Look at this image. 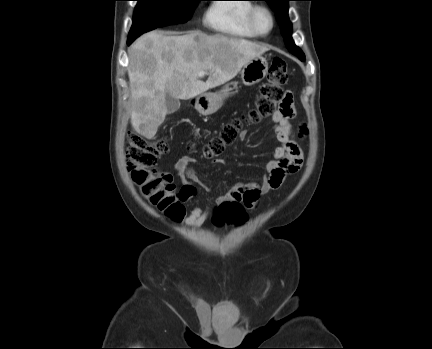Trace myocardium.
I'll use <instances>...</instances> for the list:
<instances>
[{
	"label": "myocardium",
	"mask_w": 432,
	"mask_h": 349,
	"mask_svg": "<svg viewBox=\"0 0 432 349\" xmlns=\"http://www.w3.org/2000/svg\"><path fill=\"white\" fill-rule=\"evenodd\" d=\"M259 12H265L268 15V17L270 18L271 25H270V28L268 29V31H266V32L261 31L257 26L256 19H257V14ZM247 21H248V25H249L250 29L258 37H265V36L269 35L275 27V16H274L272 10L269 7L262 5V4L254 5L250 9Z\"/></svg>",
	"instance_id": "1"
}]
</instances>
